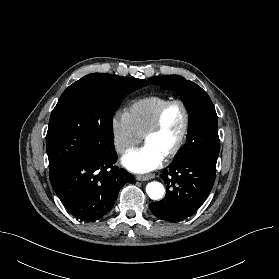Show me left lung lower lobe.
Here are the masks:
<instances>
[{
  "instance_id": "1",
  "label": "left lung lower lobe",
  "mask_w": 279,
  "mask_h": 279,
  "mask_svg": "<svg viewBox=\"0 0 279 279\" xmlns=\"http://www.w3.org/2000/svg\"><path fill=\"white\" fill-rule=\"evenodd\" d=\"M215 168L194 159L172 162L161 174L167 186L163 200L150 204L152 213L169 222L194 214L209 195Z\"/></svg>"
}]
</instances>
